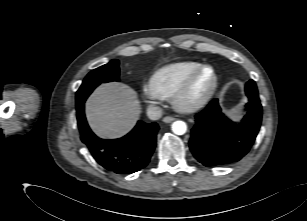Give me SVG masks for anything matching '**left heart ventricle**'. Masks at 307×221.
<instances>
[{"label":"left heart ventricle","mask_w":307,"mask_h":221,"mask_svg":"<svg viewBox=\"0 0 307 221\" xmlns=\"http://www.w3.org/2000/svg\"><path fill=\"white\" fill-rule=\"evenodd\" d=\"M212 83V73L210 70H205L196 82L191 97L197 98L203 95Z\"/></svg>","instance_id":"1"}]
</instances>
